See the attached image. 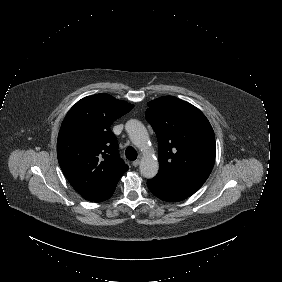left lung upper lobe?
<instances>
[{
    "label": "left lung upper lobe",
    "mask_w": 282,
    "mask_h": 282,
    "mask_svg": "<svg viewBox=\"0 0 282 282\" xmlns=\"http://www.w3.org/2000/svg\"><path fill=\"white\" fill-rule=\"evenodd\" d=\"M146 119L159 145V172L208 178L215 161V135L205 115L174 96L148 102Z\"/></svg>",
    "instance_id": "1"
}]
</instances>
